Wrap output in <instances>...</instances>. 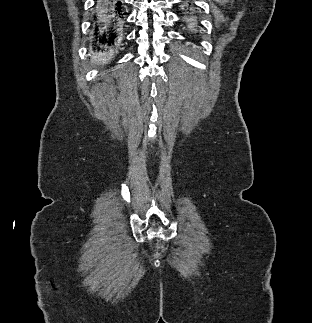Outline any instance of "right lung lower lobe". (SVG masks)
Segmentation results:
<instances>
[{"mask_svg":"<svg viewBox=\"0 0 312 323\" xmlns=\"http://www.w3.org/2000/svg\"><path fill=\"white\" fill-rule=\"evenodd\" d=\"M94 8L91 48L93 51L112 52L121 42L126 3L120 0H97Z\"/></svg>","mask_w":312,"mask_h":323,"instance_id":"right-lung-lower-lobe-1","label":"right lung lower lobe"}]
</instances>
